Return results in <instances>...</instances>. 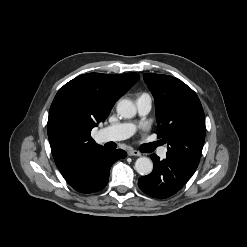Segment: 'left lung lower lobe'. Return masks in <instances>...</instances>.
I'll list each match as a JSON object with an SVG mask.
<instances>
[{"instance_id": "left-lung-lower-lobe-1", "label": "left lung lower lobe", "mask_w": 247, "mask_h": 247, "mask_svg": "<svg viewBox=\"0 0 247 247\" xmlns=\"http://www.w3.org/2000/svg\"><path fill=\"white\" fill-rule=\"evenodd\" d=\"M153 171L139 178V188L146 194L156 198H166L180 190L194 174L192 168L179 158L166 155V159L153 154Z\"/></svg>"}]
</instances>
